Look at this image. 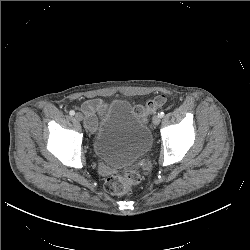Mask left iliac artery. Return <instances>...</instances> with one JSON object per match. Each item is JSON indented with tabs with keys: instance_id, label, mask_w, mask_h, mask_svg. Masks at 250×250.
<instances>
[{
	"instance_id": "44dca946",
	"label": "left iliac artery",
	"mask_w": 250,
	"mask_h": 250,
	"mask_svg": "<svg viewBox=\"0 0 250 250\" xmlns=\"http://www.w3.org/2000/svg\"><path fill=\"white\" fill-rule=\"evenodd\" d=\"M158 115L160 116V118H163L164 117V112H160Z\"/></svg>"
}]
</instances>
